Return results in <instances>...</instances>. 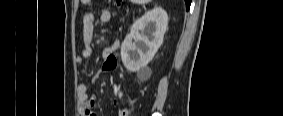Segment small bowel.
<instances>
[{"instance_id": "c3829d8e", "label": "small bowel", "mask_w": 283, "mask_h": 116, "mask_svg": "<svg viewBox=\"0 0 283 116\" xmlns=\"http://www.w3.org/2000/svg\"><path fill=\"white\" fill-rule=\"evenodd\" d=\"M85 5H91L92 1L82 0ZM111 14L107 9H103L99 14V21L101 23H108L110 21ZM94 34V14L92 11H88L83 17V28L81 36L82 49L80 54L77 56L76 61L78 64H83L90 60L93 56L92 38ZM120 41L115 40L109 45L103 52L105 62L102 65V71L113 70L116 66V57L113 55L118 50ZM77 97L79 100V109L82 116H94L95 114L91 111L97 104V98L95 95H90L85 85H79L77 89ZM117 100H113V105H117ZM130 111L128 109H121L118 111V116H129Z\"/></svg>"}]
</instances>
